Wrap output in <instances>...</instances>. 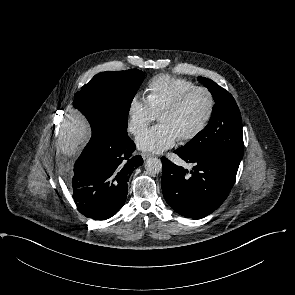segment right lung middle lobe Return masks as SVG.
I'll return each mask as SVG.
<instances>
[{
	"label": "right lung middle lobe",
	"mask_w": 295,
	"mask_h": 295,
	"mask_svg": "<svg viewBox=\"0 0 295 295\" xmlns=\"http://www.w3.org/2000/svg\"><path fill=\"white\" fill-rule=\"evenodd\" d=\"M144 78L138 69L98 73L74 95L73 106L90 125L126 136L130 105Z\"/></svg>",
	"instance_id": "1"
}]
</instances>
